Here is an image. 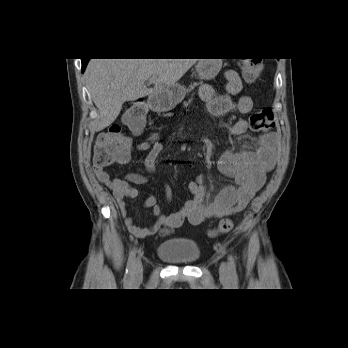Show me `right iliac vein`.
Wrapping results in <instances>:
<instances>
[{
    "label": "right iliac vein",
    "mask_w": 348,
    "mask_h": 348,
    "mask_svg": "<svg viewBox=\"0 0 348 348\" xmlns=\"http://www.w3.org/2000/svg\"><path fill=\"white\" fill-rule=\"evenodd\" d=\"M143 274V266L140 259H137L133 268V280L138 282L141 280Z\"/></svg>",
    "instance_id": "1"
}]
</instances>
